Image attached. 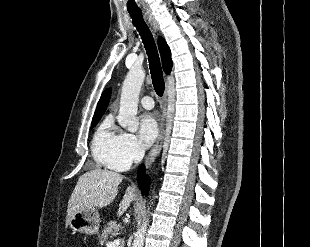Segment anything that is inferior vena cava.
Masks as SVG:
<instances>
[{"label":"inferior vena cava","mask_w":310,"mask_h":247,"mask_svg":"<svg viewBox=\"0 0 310 247\" xmlns=\"http://www.w3.org/2000/svg\"><path fill=\"white\" fill-rule=\"evenodd\" d=\"M144 156V150L141 149V148H137L134 152V162L137 163V162H140L142 160Z\"/></svg>","instance_id":"obj_1"}]
</instances>
